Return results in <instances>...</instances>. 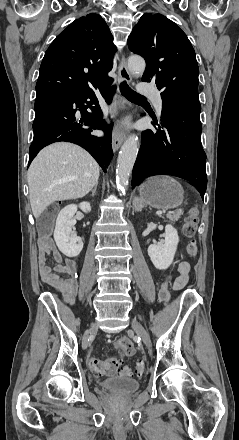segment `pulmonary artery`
<instances>
[{"instance_id": "e3ab8cb5", "label": "pulmonary artery", "mask_w": 239, "mask_h": 440, "mask_svg": "<svg viewBox=\"0 0 239 440\" xmlns=\"http://www.w3.org/2000/svg\"><path fill=\"white\" fill-rule=\"evenodd\" d=\"M139 89H141V88H139ZM152 98H153L156 110L160 114L161 110H162V99H161V96H160L159 92H157V91L154 92L152 94Z\"/></svg>"}]
</instances>
